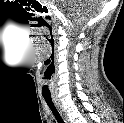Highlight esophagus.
Instances as JSON below:
<instances>
[{
  "mask_svg": "<svg viewBox=\"0 0 124 123\" xmlns=\"http://www.w3.org/2000/svg\"><path fill=\"white\" fill-rule=\"evenodd\" d=\"M57 106H58V108H59V110H60L61 116H62L63 119H64V122H65V123H69V118H68V116H67L65 110L62 108V106H61L59 103H57Z\"/></svg>",
  "mask_w": 124,
  "mask_h": 123,
  "instance_id": "obj_1",
  "label": "esophagus"
}]
</instances>
